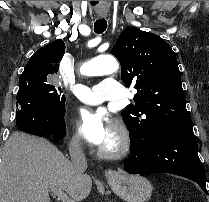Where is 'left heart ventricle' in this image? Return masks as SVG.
<instances>
[{"label": "left heart ventricle", "instance_id": "1", "mask_svg": "<svg viewBox=\"0 0 209 202\" xmlns=\"http://www.w3.org/2000/svg\"><path fill=\"white\" fill-rule=\"evenodd\" d=\"M117 143H118V133L115 129L113 133L109 136V138L106 140V142L102 145L101 148L112 149L116 146Z\"/></svg>", "mask_w": 209, "mask_h": 202}]
</instances>
